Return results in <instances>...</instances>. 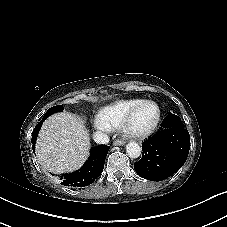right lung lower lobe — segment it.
<instances>
[{
    "label": "right lung lower lobe",
    "mask_w": 227,
    "mask_h": 227,
    "mask_svg": "<svg viewBox=\"0 0 227 227\" xmlns=\"http://www.w3.org/2000/svg\"><path fill=\"white\" fill-rule=\"evenodd\" d=\"M44 119H42L32 134V149L35 148V142L38 132L41 128ZM110 146L99 145L91 149L90 157L87 162L76 172L65 174L60 177L61 184L69 187H85L94 182V180L102 173L104 168L105 159Z\"/></svg>",
    "instance_id": "98d812e1"
}]
</instances>
